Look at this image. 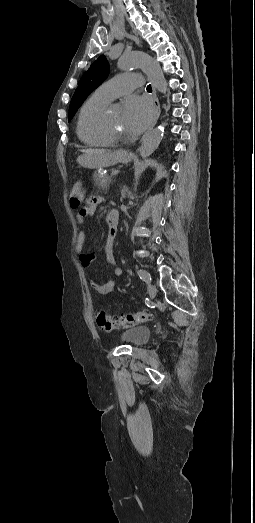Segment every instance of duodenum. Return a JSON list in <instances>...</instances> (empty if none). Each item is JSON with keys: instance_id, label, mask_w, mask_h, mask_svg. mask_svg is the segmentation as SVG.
I'll return each mask as SVG.
<instances>
[{"instance_id": "obj_1", "label": "duodenum", "mask_w": 255, "mask_h": 523, "mask_svg": "<svg viewBox=\"0 0 255 523\" xmlns=\"http://www.w3.org/2000/svg\"><path fill=\"white\" fill-rule=\"evenodd\" d=\"M106 222H107L108 227L111 230L116 229V227H117V225L119 223V212H118V210H116V209L111 210L108 213V215H107Z\"/></svg>"}]
</instances>
